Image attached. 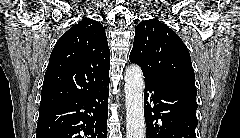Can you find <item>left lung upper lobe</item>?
<instances>
[{"instance_id": "1", "label": "left lung upper lobe", "mask_w": 240, "mask_h": 138, "mask_svg": "<svg viewBox=\"0 0 240 138\" xmlns=\"http://www.w3.org/2000/svg\"><path fill=\"white\" fill-rule=\"evenodd\" d=\"M130 61L141 67L145 81L195 83L188 49L181 38L159 20L149 19L136 26Z\"/></svg>"}]
</instances>
